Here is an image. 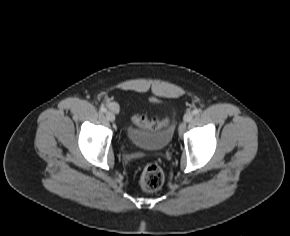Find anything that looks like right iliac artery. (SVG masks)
Returning a JSON list of instances; mask_svg holds the SVG:
<instances>
[{
	"mask_svg": "<svg viewBox=\"0 0 290 236\" xmlns=\"http://www.w3.org/2000/svg\"><path fill=\"white\" fill-rule=\"evenodd\" d=\"M100 110H101V112H106L107 111V109L104 107V106H102L101 108H100Z\"/></svg>",
	"mask_w": 290,
	"mask_h": 236,
	"instance_id": "obj_1",
	"label": "right iliac artery"
}]
</instances>
